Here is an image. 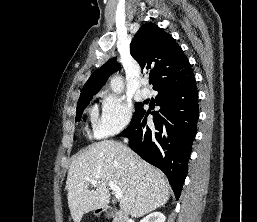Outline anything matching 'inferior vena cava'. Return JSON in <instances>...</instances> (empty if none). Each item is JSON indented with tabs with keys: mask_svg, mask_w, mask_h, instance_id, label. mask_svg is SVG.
<instances>
[{
	"mask_svg": "<svg viewBox=\"0 0 257 222\" xmlns=\"http://www.w3.org/2000/svg\"><path fill=\"white\" fill-rule=\"evenodd\" d=\"M124 142H126V143H127V142H128V140H127V139H124Z\"/></svg>",
	"mask_w": 257,
	"mask_h": 222,
	"instance_id": "1",
	"label": "inferior vena cava"
}]
</instances>
